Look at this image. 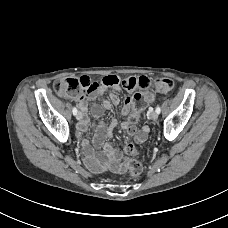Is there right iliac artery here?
I'll return each mask as SVG.
<instances>
[{"label":"right iliac artery","mask_w":228,"mask_h":228,"mask_svg":"<svg viewBox=\"0 0 228 228\" xmlns=\"http://www.w3.org/2000/svg\"><path fill=\"white\" fill-rule=\"evenodd\" d=\"M72 112H73V115H76V114H77V109H76V107L73 108Z\"/></svg>","instance_id":"82829eb1"}]
</instances>
